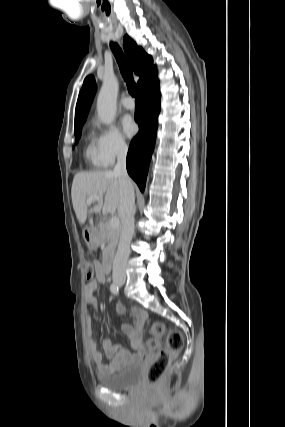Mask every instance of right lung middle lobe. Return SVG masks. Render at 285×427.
<instances>
[{
    "label": "right lung middle lobe",
    "instance_id": "dd1d6c3e",
    "mask_svg": "<svg viewBox=\"0 0 285 427\" xmlns=\"http://www.w3.org/2000/svg\"><path fill=\"white\" fill-rule=\"evenodd\" d=\"M81 129L82 127L76 128L74 133H75V139H76V143L78 142L80 136H81Z\"/></svg>",
    "mask_w": 285,
    "mask_h": 427
}]
</instances>
